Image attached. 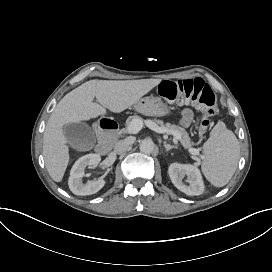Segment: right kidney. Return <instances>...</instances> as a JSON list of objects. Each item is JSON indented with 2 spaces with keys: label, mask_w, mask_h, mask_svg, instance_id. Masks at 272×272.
<instances>
[{
  "label": "right kidney",
  "mask_w": 272,
  "mask_h": 272,
  "mask_svg": "<svg viewBox=\"0 0 272 272\" xmlns=\"http://www.w3.org/2000/svg\"><path fill=\"white\" fill-rule=\"evenodd\" d=\"M100 161L101 156L99 154H87L75 162L70 171V177L68 180L69 188L75 195H92L105 186L106 181L103 179L87 181L86 183L82 181V178L85 176V168L90 166L94 169L98 166Z\"/></svg>",
  "instance_id": "obj_1"
}]
</instances>
